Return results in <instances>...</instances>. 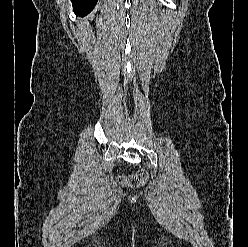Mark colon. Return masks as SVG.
<instances>
[{
    "label": "colon",
    "instance_id": "colon-1",
    "mask_svg": "<svg viewBox=\"0 0 248 247\" xmlns=\"http://www.w3.org/2000/svg\"><path fill=\"white\" fill-rule=\"evenodd\" d=\"M148 179V174L144 169H138L128 175H122L117 178V181L124 187L138 188L145 184Z\"/></svg>",
    "mask_w": 248,
    "mask_h": 247
}]
</instances>
